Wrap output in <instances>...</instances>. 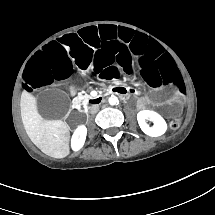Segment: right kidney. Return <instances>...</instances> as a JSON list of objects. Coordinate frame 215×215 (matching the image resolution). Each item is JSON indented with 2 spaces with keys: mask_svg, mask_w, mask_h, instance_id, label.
<instances>
[{
  "mask_svg": "<svg viewBox=\"0 0 215 215\" xmlns=\"http://www.w3.org/2000/svg\"><path fill=\"white\" fill-rule=\"evenodd\" d=\"M86 138V128L85 126H80L76 129L72 137V147L74 150L80 149Z\"/></svg>",
  "mask_w": 215,
  "mask_h": 215,
  "instance_id": "obj_1",
  "label": "right kidney"
}]
</instances>
